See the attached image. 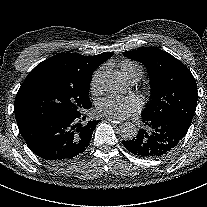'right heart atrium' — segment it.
<instances>
[{
  "mask_svg": "<svg viewBox=\"0 0 207 207\" xmlns=\"http://www.w3.org/2000/svg\"><path fill=\"white\" fill-rule=\"evenodd\" d=\"M106 69H107V66L103 65L93 73L92 78H91V83H90L91 89L93 92L99 93L102 91L103 89L102 78H103V75Z\"/></svg>",
  "mask_w": 207,
  "mask_h": 207,
  "instance_id": "d8ad5b80",
  "label": "right heart atrium"
}]
</instances>
